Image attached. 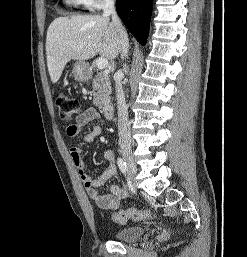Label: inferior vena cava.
I'll use <instances>...</instances> for the list:
<instances>
[{
  "label": "inferior vena cava",
  "mask_w": 247,
  "mask_h": 257,
  "mask_svg": "<svg viewBox=\"0 0 247 257\" xmlns=\"http://www.w3.org/2000/svg\"><path fill=\"white\" fill-rule=\"evenodd\" d=\"M102 10L104 16L111 15L112 23L116 27L120 35L121 44V58L127 57L129 50V40L127 32L125 31L121 20L119 19L115 7L114 0H103ZM124 74L121 70L117 71L115 79L116 98H117V109H118V133H119V145L121 148L131 147V132L130 123L128 120V107L125 102L124 91L122 88V79Z\"/></svg>",
  "instance_id": "inferior-vena-cava-1"
}]
</instances>
